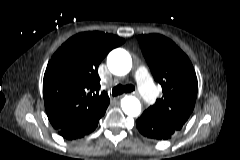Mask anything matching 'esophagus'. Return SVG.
I'll return each mask as SVG.
<instances>
[{"instance_id": "obj_1", "label": "esophagus", "mask_w": 240, "mask_h": 160, "mask_svg": "<svg viewBox=\"0 0 240 160\" xmlns=\"http://www.w3.org/2000/svg\"><path fill=\"white\" fill-rule=\"evenodd\" d=\"M133 95L138 96V93H133Z\"/></svg>"}]
</instances>
